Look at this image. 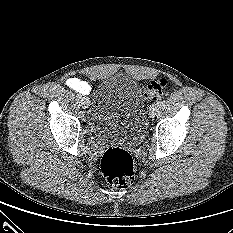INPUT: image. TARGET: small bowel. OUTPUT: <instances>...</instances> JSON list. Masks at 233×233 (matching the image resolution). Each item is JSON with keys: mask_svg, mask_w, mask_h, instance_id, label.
<instances>
[{"mask_svg": "<svg viewBox=\"0 0 233 233\" xmlns=\"http://www.w3.org/2000/svg\"><path fill=\"white\" fill-rule=\"evenodd\" d=\"M66 84L68 87L73 89L74 91L88 95L91 92V86L88 82L78 78V77H70L67 79Z\"/></svg>", "mask_w": 233, "mask_h": 233, "instance_id": "1", "label": "small bowel"}]
</instances>
